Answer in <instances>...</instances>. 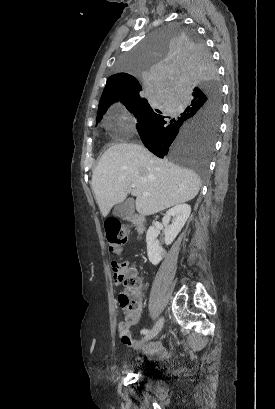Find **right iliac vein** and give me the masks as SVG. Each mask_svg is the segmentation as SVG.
Segmentation results:
<instances>
[{"label":"right iliac vein","instance_id":"obj_1","mask_svg":"<svg viewBox=\"0 0 275 409\" xmlns=\"http://www.w3.org/2000/svg\"><path fill=\"white\" fill-rule=\"evenodd\" d=\"M163 324H164V319L160 318L156 324L153 326V328L151 329V331L149 333H147L142 341H146V340H150L152 338H154L155 336H157V334L161 331V329L163 328Z\"/></svg>","mask_w":275,"mask_h":409}]
</instances>
